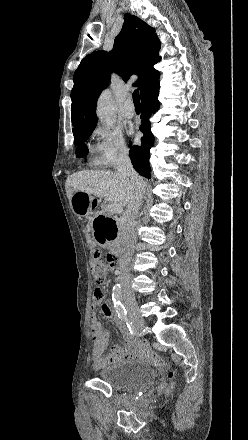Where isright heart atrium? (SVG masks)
<instances>
[{"label": "right heart atrium", "instance_id": "1", "mask_svg": "<svg viewBox=\"0 0 248 440\" xmlns=\"http://www.w3.org/2000/svg\"><path fill=\"white\" fill-rule=\"evenodd\" d=\"M92 162L101 168L114 167L128 155L126 141L116 129L99 125L93 131Z\"/></svg>", "mask_w": 248, "mask_h": 440}]
</instances>
